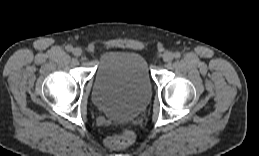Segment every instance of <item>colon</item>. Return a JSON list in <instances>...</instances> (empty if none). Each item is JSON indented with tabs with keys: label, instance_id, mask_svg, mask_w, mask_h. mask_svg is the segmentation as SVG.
<instances>
[{
	"label": "colon",
	"instance_id": "5ec220e1",
	"mask_svg": "<svg viewBox=\"0 0 259 156\" xmlns=\"http://www.w3.org/2000/svg\"><path fill=\"white\" fill-rule=\"evenodd\" d=\"M134 140V132L128 128H124L117 135L108 137L105 143L109 148L118 149L131 145Z\"/></svg>",
	"mask_w": 259,
	"mask_h": 156
}]
</instances>
